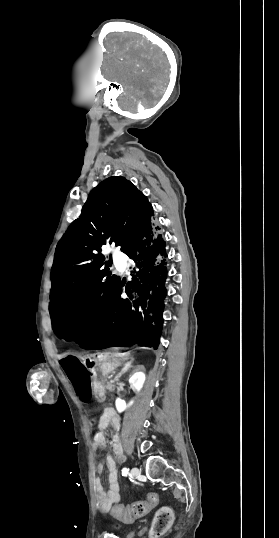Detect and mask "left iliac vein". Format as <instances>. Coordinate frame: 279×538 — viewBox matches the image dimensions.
<instances>
[{
	"instance_id": "1",
	"label": "left iliac vein",
	"mask_w": 279,
	"mask_h": 538,
	"mask_svg": "<svg viewBox=\"0 0 279 538\" xmlns=\"http://www.w3.org/2000/svg\"><path fill=\"white\" fill-rule=\"evenodd\" d=\"M131 475L135 478L138 477L140 475V470L137 467H133L131 469Z\"/></svg>"
}]
</instances>
